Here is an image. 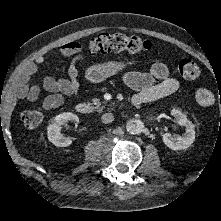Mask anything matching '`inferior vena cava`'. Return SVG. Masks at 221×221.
<instances>
[{"label":"inferior vena cava","mask_w":221,"mask_h":221,"mask_svg":"<svg viewBox=\"0 0 221 221\" xmlns=\"http://www.w3.org/2000/svg\"><path fill=\"white\" fill-rule=\"evenodd\" d=\"M101 120L103 123H111L114 120V115L112 113H105L102 115Z\"/></svg>","instance_id":"obj_1"}]
</instances>
